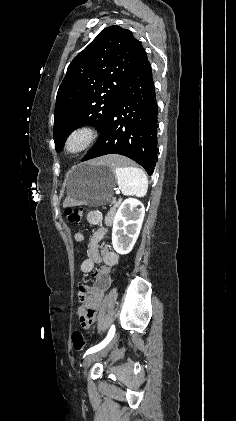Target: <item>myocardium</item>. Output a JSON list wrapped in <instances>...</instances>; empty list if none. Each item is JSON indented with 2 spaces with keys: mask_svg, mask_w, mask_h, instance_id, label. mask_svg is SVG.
<instances>
[{
  "mask_svg": "<svg viewBox=\"0 0 236 421\" xmlns=\"http://www.w3.org/2000/svg\"><path fill=\"white\" fill-rule=\"evenodd\" d=\"M98 133L92 126H80L73 129L64 139L62 155L73 160L85 152L97 139Z\"/></svg>",
  "mask_w": 236,
  "mask_h": 421,
  "instance_id": "1",
  "label": "myocardium"
}]
</instances>
